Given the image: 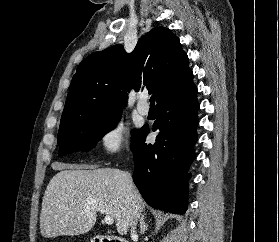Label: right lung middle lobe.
Segmentation results:
<instances>
[{"mask_svg":"<svg viewBox=\"0 0 279 242\" xmlns=\"http://www.w3.org/2000/svg\"><path fill=\"white\" fill-rule=\"evenodd\" d=\"M121 114L107 118L85 119L60 126L58 132L59 156L78 151H89L98 140L119 122ZM139 130H132V138Z\"/></svg>","mask_w":279,"mask_h":242,"instance_id":"right-lung-middle-lobe-1","label":"right lung middle lobe"}]
</instances>
